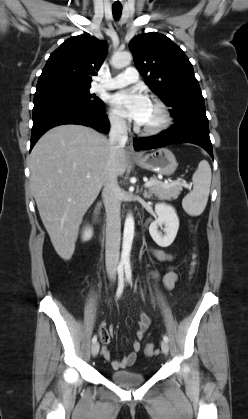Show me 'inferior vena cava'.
<instances>
[{
    "instance_id": "obj_1",
    "label": "inferior vena cava",
    "mask_w": 248,
    "mask_h": 419,
    "mask_svg": "<svg viewBox=\"0 0 248 419\" xmlns=\"http://www.w3.org/2000/svg\"><path fill=\"white\" fill-rule=\"evenodd\" d=\"M128 139L126 121L117 116L110 117L109 132V160L105 176L102 198L106 210V246L105 260L108 274L115 276L119 263V250L121 240L120 219V188L115 172L117 153L125 147Z\"/></svg>"
}]
</instances>
